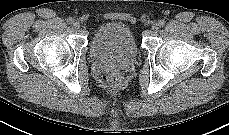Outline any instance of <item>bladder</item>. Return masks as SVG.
Masks as SVG:
<instances>
[{"label": "bladder", "instance_id": "bladder-1", "mask_svg": "<svg viewBox=\"0 0 229 135\" xmlns=\"http://www.w3.org/2000/svg\"><path fill=\"white\" fill-rule=\"evenodd\" d=\"M90 53L97 59H133L138 53V46L127 25L109 22L94 31L90 41Z\"/></svg>", "mask_w": 229, "mask_h": 135}]
</instances>
